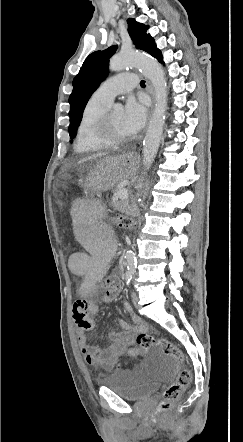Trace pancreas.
<instances>
[{"label": "pancreas", "mask_w": 243, "mask_h": 442, "mask_svg": "<svg viewBox=\"0 0 243 442\" xmlns=\"http://www.w3.org/2000/svg\"><path fill=\"white\" fill-rule=\"evenodd\" d=\"M123 206H124V202L123 201H115L114 203H113V207L116 209V210H123Z\"/></svg>", "instance_id": "cf45deb5"}]
</instances>
